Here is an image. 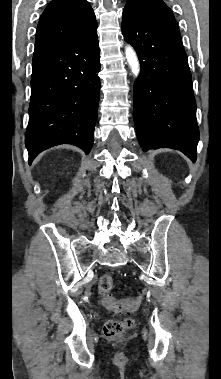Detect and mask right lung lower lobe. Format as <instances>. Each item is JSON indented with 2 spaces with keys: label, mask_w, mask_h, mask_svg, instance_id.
I'll use <instances>...</instances> for the list:
<instances>
[{
  "label": "right lung lower lobe",
  "mask_w": 221,
  "mask_h": 379,
  "mask_svg": "<svg viewBox=\"0 0 221 379\" xmlns=\"http://www.w3.org/2000/svg\"><path fill=\"white\" fill-rule=\"evenodd\" d=\"M98 43L96 24L81 38L33 56L25 134L29 164L41 151L64 143L90 152L100 99Z\"/></svg>",
  "instance_id": "98d812e1"
}]
</instances>
